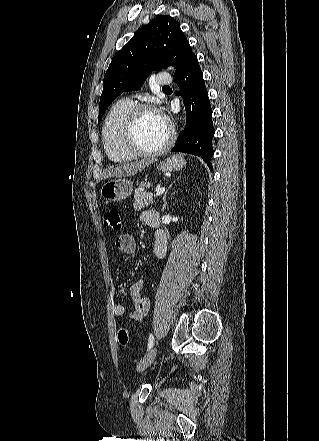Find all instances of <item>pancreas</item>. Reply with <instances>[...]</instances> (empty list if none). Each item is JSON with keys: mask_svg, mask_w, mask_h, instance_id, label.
Here are the masks:
<instances>
[{"mask_svg": "<svg viewBox=\"0 0 319 441\" xmlns=\"http://www.w3.org/2000/svg\"><path fill=\"white\" fill-rule=\"evenodd\" d=\"M149 187L150 183L143 182L135 189V202L133 203L135 211H139L153 203L152 193L144 191L145 188Z\"/></svg>", "mask_w": 319, "mask_h": 441, "instance_id": "obj_1", "label": "pancreas"}]
</instances>
